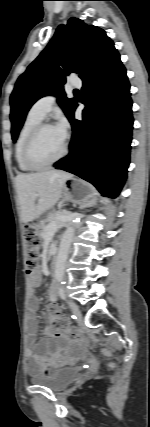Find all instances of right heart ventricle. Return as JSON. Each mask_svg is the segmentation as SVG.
I'll use <instances>...</instances> for the list:
<instances>
[{
	"label": "right heart ventricle",
	"mask_w": 150,
	"mask_h": 427,
	"mask_svg": "<svg viewBox=\"0 0 150 427\" xmlns=\"http://www.w3.org/2000/svg\"><path fill=\"white\" fill-rule=\"evenodd\" d=\"M41 121H42V118L38 117L36 114H34L30 110L20 128V131L16 140V144H15V159L21 171L27 172L32 170L24 162L23 148L29 133L37 124L41 123Z\"/></svg>",
	"instance_id": "obj_1"
}]
</instances>
